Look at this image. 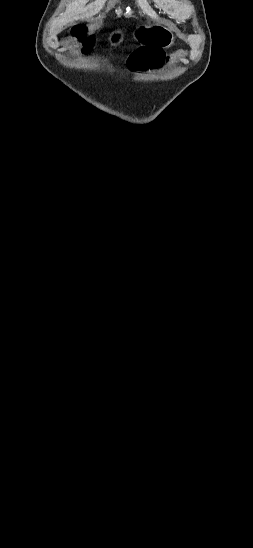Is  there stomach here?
<instances>
[{
  "label": "stomach",
  "mask_w": 253,
  "mask_h": 548,
  "mask_svg": "<svg viewBox=\"0 0 253 548\" xmlns=\"http://www.w3.org/2000/svg\"><path fill=\"white\" fill-rule=\"evenodd\" d=\"M124 37L120 31L112 33L108 39L111 46H118L122 43ZM137 39L147 43L155 42L166 46L173 41L172 33L161 26H155L151 29L142 28L137 32Z\"/></svg>",
  "instance_id": "0dacf381"
}]
</instances>
